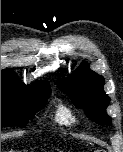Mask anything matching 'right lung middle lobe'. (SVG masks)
<instances>
[{
	"label": "right lung middle lobe",
	"mask_w": 123,
	"mask_h": 152,
	"mask_svg": "<svg viewBox=\"0 0 123 152\" xmlns=\"http://www.w3.org/2000/svg\"><path fill=\"white\" fill-rule=\"evenodd\" d=\"M50 94H21L1 86V126L26 125L46 104Z\"/></svg>",
	"instance_id": "obj_1"
}]
</instances>
